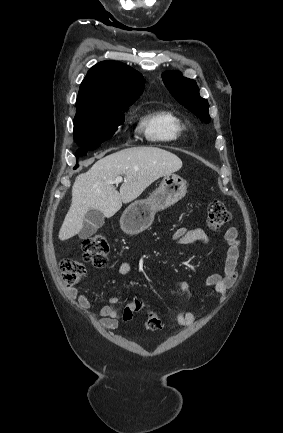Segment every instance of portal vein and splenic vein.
<instances>
[{
  "label": "portal vein and splenic vein",
  "mask_w": 283,
  "mask_h": 433,
  "mask_svg": "<svg viewBox=\"0 0 283 433\" xmlns=\"http://www.w3.org/2000/svg\"><path fill=\"white\" fill-rule=\"evenodd\" d=\"M123 176H116L115 180H112V182H122Z\"/></svg>",
  "instance_id": "1"
}]
</instances>
